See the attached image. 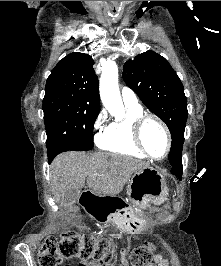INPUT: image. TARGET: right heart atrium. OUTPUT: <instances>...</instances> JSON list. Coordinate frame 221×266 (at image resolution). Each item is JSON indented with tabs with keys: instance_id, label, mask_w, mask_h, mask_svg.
Here are the masks:
<instances>
[{
	"instance_id": "d8ad5b80",
	"label": "right heart atrium",
	"mask_w": 221,
	"mask_h": 266,
	"mask_svg": "<svg viewBox=\"0 0 221 266\" xmlns=\"http://www.w3.org/2000/svg\"><path fill=\"white\" fill-rule=\"evenodd\" d=\"M106 118H107V114H106V111L104 109H102L97 117L95 118L94 120V123H93V128L95 130H100L102 128V126L104 125L105 121H106ZM100 135V134H99ZM99 135H97V138L99 137Z\"/></svg>"
}]
</instances>
